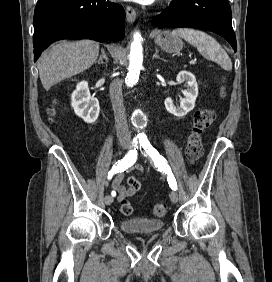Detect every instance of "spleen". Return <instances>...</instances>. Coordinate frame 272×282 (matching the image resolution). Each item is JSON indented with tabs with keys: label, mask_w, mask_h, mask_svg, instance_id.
<instances>
[{
	"label": "spleen",
	"mask_w": 272,
	"mask_h": 282,
	"mask_svg": "<svg viewBox=\"0 0 272 282\" xmlns=\"http://www.w3.org/2000/svg\"><path fill=\"white\" fill-rule=\"evenodd\" d=\"M171 34L185 39L196 47L202 56L217 62L223 69L232 70V62L228 54L213 37L205 32L191 28H179L173 30Z\"/></svg>",
	"instance_id": "1"
}]
</instances>
